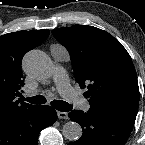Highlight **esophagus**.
I'll list each match as a JSON object with an SVG mask.
<instances>
[{"label": "esophagus", "mask_w": 145, "mask_h": 145, "mask_svg": "<svg viewBox=\"0 0 145 145\" xmlns=\"http://www.w3.org/2000/svg\"><path fill=\"white\" fill-rule=\"evenodd\" d=\"M57 116L59 119H68V114L66 112L58 111Z\"/></svg>", "instance_id": "obj_1"}]
</instances>
